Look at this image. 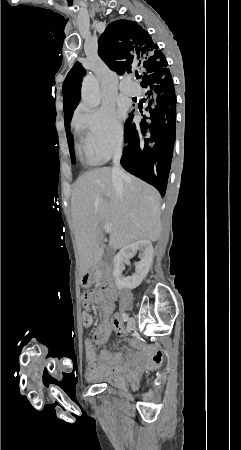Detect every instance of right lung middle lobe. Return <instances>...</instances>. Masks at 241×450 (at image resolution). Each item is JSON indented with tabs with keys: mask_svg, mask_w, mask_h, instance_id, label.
<instances>
[{
	"mask_svg": "<svg viewBox=\"0 0 241 450\" xmlns=\"http://www.w3.org/2000/svg\"><path fill=\"white\" fill-rule=\"evenodd\" d=\"M82 76L77 74H67L62 88L63 103H64V116L68 113H72L79 103L80 90H81ZM70 139V134H67ZM70 155L72 163H75L73 146L69 141Z\"/></svg>",
	"mask_w": 241,
	"mask_h": 450,
	"instance_id": "dd1d6c3e",
	"label": "right lung middle lobe"
}]
</instances>
